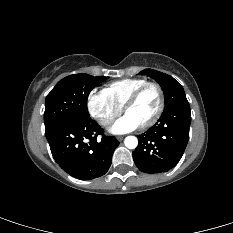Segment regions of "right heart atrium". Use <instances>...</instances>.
I'll list each match as a JSON object with an SVG mask.
<instances>
[{"instance_id":"right-heart-atrium-1","label":"right heart atrium","mask_w":233,"mask_h":233,"mask_svg":"<svg viewBox=\"0 0 233 233\" xmlns=\"http://www.w3.org/2000/svg\"><path fill=\"white\" fill-rule=\"evenodd\" d=\"M87 109L91 117L102 126L111 124L122 112V107L109 100L103 91L96 90L88 95Z\"/></svg>"}]
</instances>
